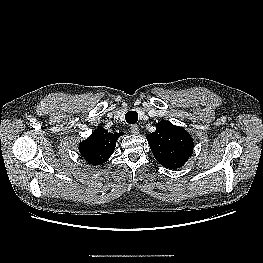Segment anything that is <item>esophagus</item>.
<instances>
[{"label": "esophagus", "mask_w": 263, "mask_h": 263, "mask_svg": "<svg viewBox=\"0 0 263 263\" xmlns=\"http://www.w3.org/2000/svg\"><path fill=\"white\" fill-rule=\"evenodd\" d=\"M130 130H131V133L134 134V135L139 134V126L138 125H132L130 127Z\"/></svg>", "instance_id": "34e87169"}]
</instances>
